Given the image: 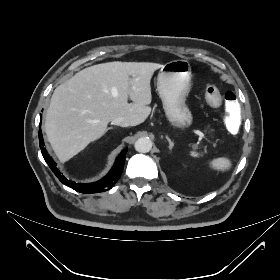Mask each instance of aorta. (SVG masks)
Here are the masks:
<instances>
[{"instance_id": "aorta-1", "label": "aorta", "mask_w": 280, "mask_h": 280, "mask_svg": "<svg viewBox=\"0 0 280 280\" xmlns=\"http://www.w3.org/2000/svg\"><path fill=\"white\" fill-rule=\"evenodd\" d=\"M135 150L140 153H147L152 148V141L147 137H141L135 142Z\"/></svg>"}]
</instances>
